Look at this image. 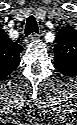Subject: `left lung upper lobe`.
<instances>
[{
    "label": "left lung upper lobe",
    "instance_id": "obj_1",
    "mask_svg": "<svg viewBox=\"0 0 77 125\" xmlns=\"http://www.w3.org/2000/svg\"><path fill=\"white\" fill-rule=\"evenodd\" d=\"M54 67L66 65L77 67V31L70 27H63L56 36L54 47Z\"/></svg>",
    "mask_w": 77,
    "mask_h": 125
}]
</instances>
